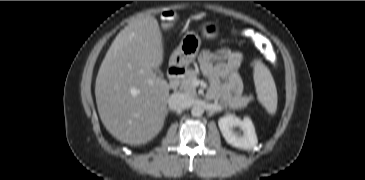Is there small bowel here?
Segmentation results:
<instances>
[{"instance_id":"1","label":"small bowel","mask_w":365,"mask_h":180,"mask_svg":"<svg viewBox=\"0 0 365 180\" xmlns=\"http://www.w3.org/2000/svg\"><path fill=\"white\" fill-rule=\"evenodd\" d=\"M245 59L238 51L223 48L215 53L204 51L199 63L211 85V96L230 99L242 92V80L237 72Z\"/></svg>"}]
</instances>
